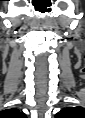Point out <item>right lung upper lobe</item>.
Instances as JSON below:
<instances>
[{
	"label": "right lung upper lobe",
	"mask_w": 85,
	"mask_h": 118,
	"mask_svg": "<svg viewBox=\"0 0 85 118\" xmlns=\"http://www.w3.org/2000/svg\"><path fill=\"white\" fill-rule=\"evenodd\" d=\"M9 111L13 112V113H19V111L17 109H10Z\"/></svg>",
	"instance_id": "obj_1"
}]
</instances>
